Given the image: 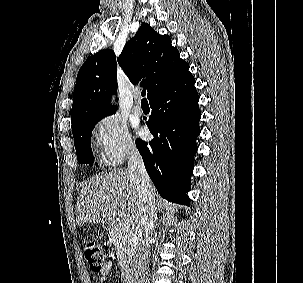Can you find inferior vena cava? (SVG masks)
Returning a JSON list of instances; mask_svg holds the SVG:
<instances>
[{
	"label": "inferior vena cava",
	"instance_id": "obj_1",
	"mask_svg": "<svg viewBox=\"0 0 303 283\" xmlns=\"http://www.w3.org/2000/svg\"><path fill=\"white\" fill-rule=\"evenodd\" d=\"M128 168L134 181L139 198L140 218L136 224L135 234L140 237V244L135 247L132 264V283H147L148 241L154 227L155 198L152 193L151 180L147 174L143 159L135 147L128 152Z\"/></svg>",
	"mask_w": 303,
	"mask_h": 283
}]
</instances>
